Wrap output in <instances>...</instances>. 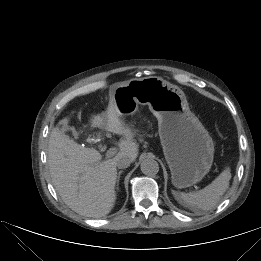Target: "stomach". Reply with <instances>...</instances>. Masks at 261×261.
I'll list each match as a JSON object with an SVG mask.
<instances>
[{
  "label": "stomach",
  "mask_w": 261,
  "mask_h": 261,
  "mask_svg": "<svg viewBox=\"0 0 261 261\" xmlns=\"http://www.w3.org/2000/svg\"><path fill=\"white\" fill-rule=\"evenodd\" d=\"M114 102L121 116L133 115L144 105L156 116L163 153L176 188L191 187L210 171L214 142L190 111L178 86L156 76L131 79L114 88Z\"/></svg>",
  "instance_id": "stomach-1"
}]
</instances>
